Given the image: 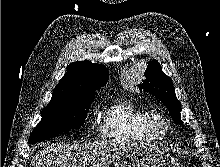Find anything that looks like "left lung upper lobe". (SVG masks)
<instances>
[{
  "mask_svg": "<svg viewBox=\"0 0 220 167\" xmlns=\"http://www.w3.org/2000/svg\"><path fill=\"white\" fill-rule=\"evenodd\" d=\"M145 77V80L138 87L157 97L167 107L173 120L182 124L180 118L181 103L176 97L172 80L162 72L157 60L149 61Z\"/></svg>",
  "mask_w": 220,
  "mask_h": 167,
  "instance_id": "obj_1",
  "label": "left lung upper lobe"
}]
</instances>
